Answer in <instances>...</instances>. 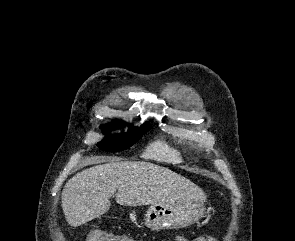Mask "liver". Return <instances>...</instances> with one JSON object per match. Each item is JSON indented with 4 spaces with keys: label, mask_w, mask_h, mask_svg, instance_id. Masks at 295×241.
Returning a JSON list of instances; mask_svg holds the SVG:
<instances>
[{
    "label": "liver",
    "mask_w": 295,
    "mask_h": 241,
    "mask_svg": "<svg viewBox=\"0 0 295 241\" xmlns=\"http://www.w3.org/2000/svg\"><path fill=\"white\" fill-rule=\"evenodd\" d=\"M82 170L62 191V209L72 227L106 213L110 198L123 206L204 202V191L189 179L148 162L102 160Z\"/></svg>",
    "instance_id": "obj_1"
}]
</instances>
